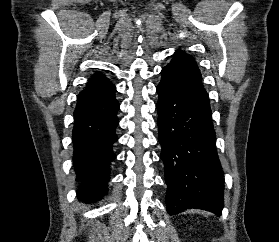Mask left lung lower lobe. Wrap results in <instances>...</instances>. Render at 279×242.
<instances>
[{"mask_svg": "<svg viewBox=\"0 0 279 242\" xmlns=\"http://www.w3.org/2000/svg\"><path fill=\"white\" fill-rule=\"evenodd\" d=\"M157 86L158 140L165 166L167 212L187 209L221 214L223 176L209 98L195 60L178 51Z\"/></svg>", "mask_w": 279, "mask_h": 242, "instance_id": "0a47b994", "label": "left lung lower lobe"}]
</instances>
